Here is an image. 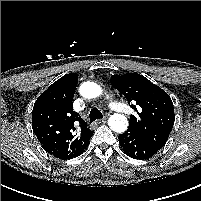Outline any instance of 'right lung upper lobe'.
I'll use <instances>...</instances> for the list:
<instances>
[{
    "mask_svg": "<svg viewBox=\"0 0 201 201\" xmlns=\"http://www.w3.org/2000/svg\"><path fill=\"white\" fill-rule=\"evenodd\" d=\"M77 75L67 74L43 92L32 112V128L42 147L57 158L74 155L93 133L73 111Z\"/></svg>",
    "mask_w": 201,
    "mask_h": 201,
    "instance_id": "obj_1",
    "label": "right lung upper lobe"
}]
</instances>
